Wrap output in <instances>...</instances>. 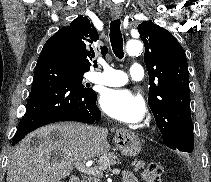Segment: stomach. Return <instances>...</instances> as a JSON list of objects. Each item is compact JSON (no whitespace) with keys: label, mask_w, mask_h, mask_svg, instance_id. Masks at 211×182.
I'll return each instance as SVG.
<instances>
[{"label":"stomach","mask_w":211,"mask_h":182,"mask_svg":"<svg viewBox=\"0 0 211 182\" xmlns=\"http://www.w3.org/2000/svg\"><path fill=\"white\" fill-rule=\"evenodd\" d=\"M116 147L125 156H135L141 150L140 139L133 133L120 131L114 138Z\"/></svg>","instance_id":"1"}]
</instances>
